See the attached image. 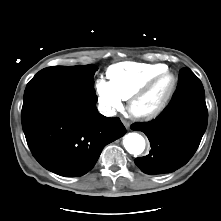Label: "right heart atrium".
Returning <instances> with one entry per match:
<instances>
[{
	"label": "right heart atrium",
	"instance_id": "right-heart-atrium-1",
	"mask_svg": "<svg viewBox=\"0 0 221 221\" xmlns=\"http://www.w3.org/2000/svg\"><path fill=\"white\" fill-rule=\"evenodd\" d=\"M95 91L99 103V108L106 116L112 117L122 107V99L104 79H98L95 83Z\"/></svg>",
	"mask_w": 221,
	"mask_h": 221
}]
</instances>
